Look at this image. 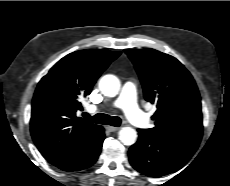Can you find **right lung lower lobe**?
Segmentation results:
<instances>
[{
    "label": "right lung lower lobe",
    "mask_w": 230,
    "mask_h": 186,
    "mask_svg": "<svg viewBox=\"0 0 230 186\" xmlns=\"http://www.w3.org/2000/svg\"><path fill=\"white\" fill-rule=\"evenodd\" d=\"M104 138V129L101 127L96 136L73 158L57 167L64 171H77L90 167L100 154Z\"/></svg>",
    "instance_id": "right-lung-lower-lobe-1"
}]
</instances>
